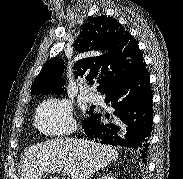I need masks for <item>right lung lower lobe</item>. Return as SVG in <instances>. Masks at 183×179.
Returning a JSON list of instances; mask_svg holds the SVG:
<instances>
[{"label":"right lung lower lobe","mask_w":183,"mask_h":179,"mask_svg":"<svg viewBox=\"0 0 183 179\" xmlns=\"http://www.w3.org/2000/svg\"><path fill=\"white\" fill-rule=\"evenodd\" d=\"M102 94L114 115L91 114L82 121L83 133L102 144L128 147L147 162L152 131V90L145 62L137 71L108 85ZM109 121L104 122V118Z\"/></svg>","instance_id":"1"}]
</instances>
